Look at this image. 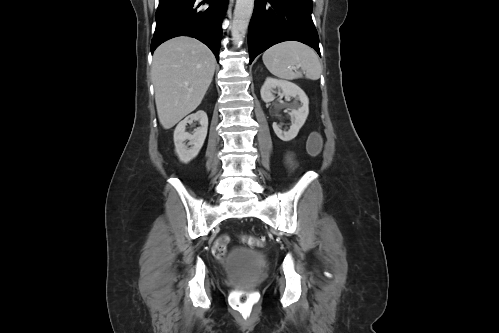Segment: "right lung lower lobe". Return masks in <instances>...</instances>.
<instances>
[{"instance_id": "98d812e1", "label": "right lung lower lobe", "mask_w": 499, "mask_h": 333, "mask_svg": "<svg viewBox=\"0 0 499 333\" xmlns=\"http://www.w3.org/2000/svg\"><path fill=\"white\" fill-rule=\"evenodd\" d=\"M228 0H159L151 52L177 36H190L205 43L219 61L221 23ZM205 4H208L205 6Z\"/></svg>"}]
</instances>
